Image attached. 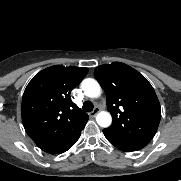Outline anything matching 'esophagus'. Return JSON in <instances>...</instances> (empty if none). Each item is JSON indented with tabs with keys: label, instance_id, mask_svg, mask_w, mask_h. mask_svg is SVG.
<instances>
[{
	"label": "esophagus",
	"instance_id": "1",
	"mask_svg": "<svg viewBox=\"0 0 181 181\" xmlns=\"http://www.w3.org/2000/svg\"><path fill=\"white\" fill-rule=\"evenodd\" d=\"M99 110H100V109H99V108H97V107H96V108H94V110H93L92 112H90V114H89V115H90V117H95V116H96V114L99 112Z\"/></svg>",
	"mask_w": 181,
	"mask_h": 181
}]
</instances>
